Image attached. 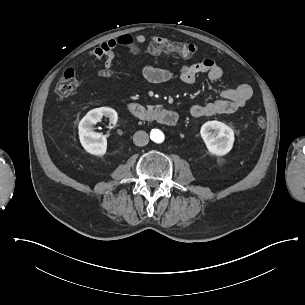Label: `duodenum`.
<instances>
[{"mask_svg": "<svg viewBox=\"0 0 305 305\" xmlns=\"http://www.w3.org/2000/svg\"><path fill=\"white\" fill-rule=\"evenodd\" d=\"M127 111L138 120L155 121L167 127H173L178 122L177 113L170 109L151 110L140 103L132 102L127 105Z\"/></svg>", "mask_w": 305, "mask_h": 305, "instance_id": "410a0bca", "label": "duodenum"}]
</instances>
